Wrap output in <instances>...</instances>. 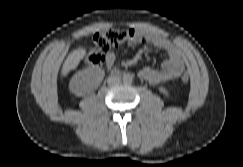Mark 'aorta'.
<instances>
[{
    "label": "aorta",
    "instance_id": "obj_1",
    "mask_svg": "<svg viewBox=\"0 0 243 167\" xmlns=\"http://www.w3.org/2000/svg\"><path fill=\"white\" fill-rule=\"evenodd\" d=\"M122 80L124 83H131L133 81V75L130 73H126L123 75Z\"/></svg>",
    "mask_w": 243,
    "mask_h": 167
}]
</instances>
